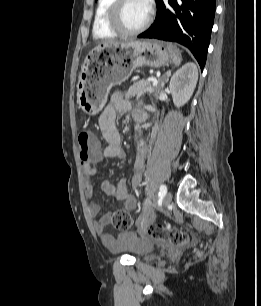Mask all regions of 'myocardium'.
I'll use <instances>...</instances> for the list:
<instances>
[{"mask_svg": "<svg viewBox=\"0 0 261 306\" xmlns=\"http://www.w3.org/2000/svg\"><path fill=\"white\" fill-rule=\"evenodd\" d=\"M127 0H114L107 12V23L112 30L122 36H134L145 31L151 23L153 17V8L148 4V13L145 21L135 29L127 28L121 17L122 9Z\"/></svg>", "mask_w": 261, "mask_h": 306, "instance_id": "myocardium-1", "label": "myocardium"}]
</instances>
